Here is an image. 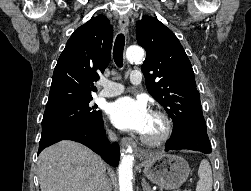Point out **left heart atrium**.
Masks as SVG:
<instances>
[{
  "label": "left heart atrium",
  "instance_id": "39dd6f15",
  "mask_svg": "<svg viewBox=\"0 0 251 191\" xmlns=\"http://www.w3.org/2000/svg\"><path fill=\"white\" fill-rule=\"evenodd\" d=\"M107 116L123 131L143 133L151 114L145 102L122 97L107 106Z\"/></svg>",
  "mask_w": 251,
  "mask_h": 191
}]
</instances>
